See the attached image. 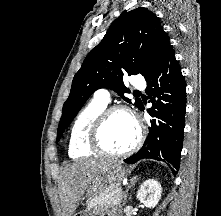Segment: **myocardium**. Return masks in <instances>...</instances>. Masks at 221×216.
<instances>
[{"instance_id": "myocardium-1", "label": "myocardium", "mask_w": 221, "mask_h": 216, "mask_svg": "<svg viewBox=\"0 0 221 216\" xmlns=\"http://www.w3.org/2000/svg\"><path fill=\"white\" fill-rule=\"evenodd\" d=\"M118 112L125 113L132 119L134 125L136 126L137 137L136 140L133 142V144L127 149L119 152H113L104 147L101 141V134L109 118L113 114ZM143 139H144V127L139 117L135 113H133V111L127 106L114 105L105 108L93 121V123L91 124L88 130L87 142L90 149L101 155L110 156V157H124L136 151L141 146Z\"/></svg>"}]
</instances>
